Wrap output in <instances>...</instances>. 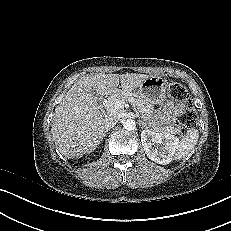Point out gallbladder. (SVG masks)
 <instances>
[{"label": "gallbladder", "instance_id": "1", "mask_svg": "<svg viewBox=\"0 0 231 231\" xmlns=\"http://www.w3.org/2000/svg\"><path fill=\"white\" fill-rule=\"evenodd\" d=\"M93 94H94V97L96 98V100L100 99V94L97 93L95 90H93Z\"/></svg>", "mask_w": 231, "mask_h": 231}]
</instances>
